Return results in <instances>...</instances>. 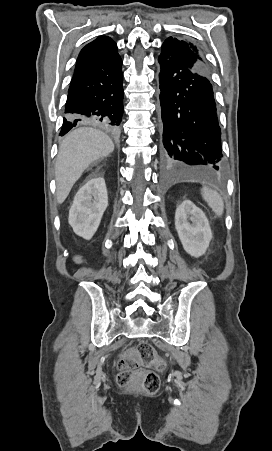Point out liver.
Returning <instances> with one entry per match:
<instances>
[{
    "label": "liver",
    "instance_id": "obj_1",
    "mask_svg": "<svg viewBox=\"0 0 272 451\" xmlns=\"http://www.w3.org/2000/svg\"><path fill=\"white\" fill-rule=\"evenodd\" d=\"M113 150L114 144L111 138L101 130L77 128L69 132L59 146L55 164L58 204H63L72 186L91 162L109 156Z\"/></svg>",
    "mask_w": 272,
    "mask_h": 451
}]
</instances>
